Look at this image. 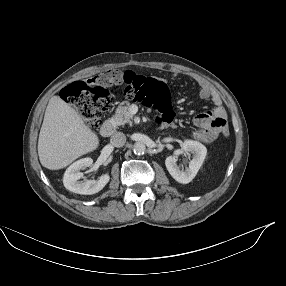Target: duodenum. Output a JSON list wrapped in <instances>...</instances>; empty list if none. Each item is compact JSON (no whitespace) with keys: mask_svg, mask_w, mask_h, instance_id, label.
Listing matches in <instances>:
<instances>
[{"mask_svg":"<svg viewBox=\"0 0 286 286\" xmlns=\"http://www.w3.org/2000/svg\"><path fill=\"white\" fill-rule=\"evenodd\" d=\"M116 125L112 120H106L101 127V134L104 137H110L114 134Z\"/></svg>","mask_w":286,"mask_h":286,"instance_id":"410a0bca","label":"duodenum"}]
</instances>
